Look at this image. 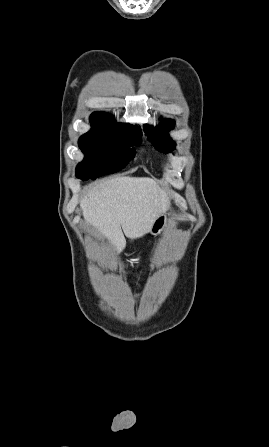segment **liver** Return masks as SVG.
<instances>
[{
	"label": "liver",
	"mask_w": 269,
	"mask_h": 447,
	"mask_svg": "<svg viewBox=\"0 0 269 447\" xmlns=\"http://www.w3.org/2000/svg\"><path fill=\"white\" fill-rule=\"evenodd\" d=\"M169 206L168 194L155 180L129 176L101 182L80 202L84 220L97 227L117 253L126 245L124 233L130 239L142 237Z\"/></svg>",
	"instance_id": "1"
}]
</instances>
